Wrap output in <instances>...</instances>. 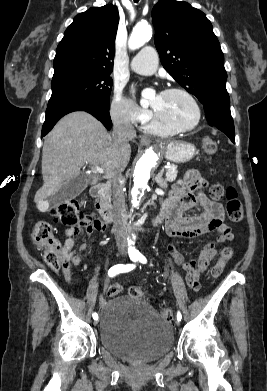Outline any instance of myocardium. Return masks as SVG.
<instances>
[{
    "instance_id": "myocardium-1",
    "label": "myocardium",
    "mask_w": 267,
    "mask_h": 391,
    "mask_svg": "<svg viewBox=\"0 0 267 391\" xmlns=\"http://www.w3.org/2000/svg\"><path fill=\"white\" fill-rule=\"evenodd\" d=\"M171 93H179L184 95L188 100L192 103L194 109H195V120L194 122L187 127H178V126H173L170 125L164 121H162L159 116L156 114V112H153V121L154 124L160 128H163L165 130L171 131L172 133H183V132H188L192 131L195 128H197L201 121H202V109L201 106L198 102V100L195 98V96L188 90L181 88V87H169L166 88L162 91V94H171Z\"/></svg>"
}]
</instances>
